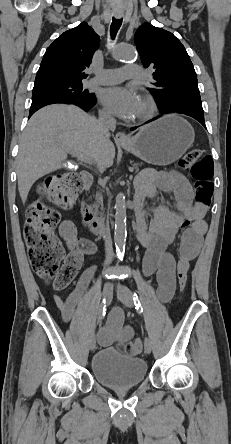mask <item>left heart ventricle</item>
<instances>
[{
	"label": "left heart ventricle",
	"mask_w": 231,
	"mask_h": 444,
	"mask_svg": "<svg viewBox=\"0 0 231 444\" xmlns=\"http://www.w3.org/2000/svg\"><path fill=\"white\" fill-rule=\"evenodd\" d=\"M142 110H143V105H142V103H141V101H140V103H139V107H138V111H137L136 114H139Z\"/></svg>",
	"instance_id": "left-heart-ventricle-1"
}]
</instances>
